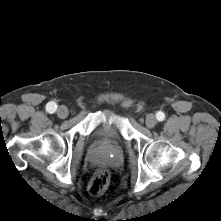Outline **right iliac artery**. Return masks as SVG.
<instances>
[{"instance_id": "obj_1", "label": "right iliac artery", "mask_w": 221, "mask_h": 221, "mask_svg": "<svg viewBox=\"0 0 221 221\" xmlns=\"http://www.w3.org/2000/svg\"><path fill=\"white\" fill-rule=\"evenodd\" d=\"M57 109V105L56 103L54 102H49L47 105H46V110L47 112L49 113H54Z\"/></svg>"}]
</instances>
